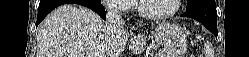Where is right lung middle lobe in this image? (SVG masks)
Here are the masks:
<instances>
[{
	"instance_id": "1",
	"label": "right lung middle lobe",
	"mask_w": 249,
	"mask_h": 57,
	"mask_svg": "<svg viewBox=\"0 0 249 57\" xmlns=\"http://www.w3.org/2000/svg\"><path fill=\"white\" fill-rule=\"evenodd\" d=\"M90 1L95 2V3H101L100 0H90Z\"/></svg>"
}]
</instances>
